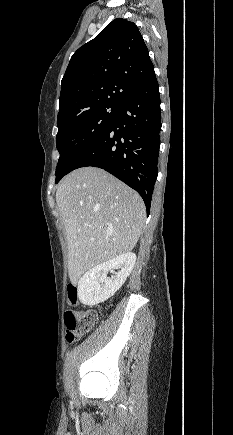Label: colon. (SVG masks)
<instances>
[{"label": "colon", "instance_id": "1", "mask_svg": "<svg viewBox=\"0 0 233 435\" xmlns=\"http://www.w3.org/2000/svg\"><path fill=\"white\" fill-rule=\"evenodd\" d=\"M68 301L75 304L78 301L79 285L72 282L67 286ZM97 311L94 309H70L66 313V340L74 343L89 332L97 319Z\"/></svg>", "mask_w": 233, "mask_h": 435}]
</instances>
